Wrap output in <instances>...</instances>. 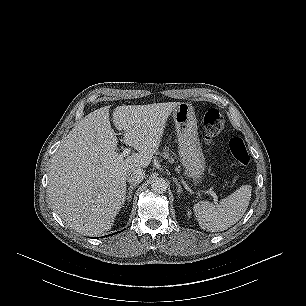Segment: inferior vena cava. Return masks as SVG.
<instances>
[{
  "instance_id": "obj_1",
  "label": "inferior vena cava",
  "mask_w": 306,
  "mask_h": 306,
  "mask_svg": "<svg viewBox=\"0 0 306 306\" xmlns=\"http://www.w3.org/2000/svg\"><path fill=\"white\" fill-rule=\"evenodd\" d=\"M144 178L145 172L140 168L130 171L127 175V181L133 185L139 184Z\"/></svg>"
}]
</instances>
